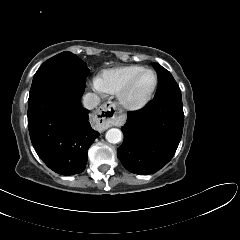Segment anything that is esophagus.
<instances>
[{
  "label": "esophagus",
  "mask_w": 240,
  "mask_h": 240,
  "mask_svg": "<svg viewBox=\"0 0 240 240\" xmlns=\"http://www.w3.org/2000/svg\"><path fill=\"white\" fill-rule=\"evenodd\" d=\"M118 114L119 111H117L116 105L112 102H107L96 110L95 121L100 127L107 129L114 124Z\"/></svg>",
  "instance_id": "obj_1"
}]
</instances>
